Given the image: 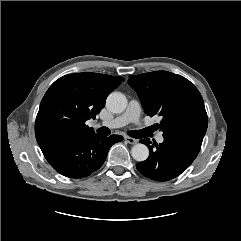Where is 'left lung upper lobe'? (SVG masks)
<instances>
[{"label":"left lung upper lobe","mask_w":241,"mask_h":241,"mask_svg":"<svg viewBox=\"0 0 241 241\" xmlns=\"http://www.w3.org/2000/svg\"><path fill=\"white\" fill-rule=\"evenodd\" d=\"M128 84L137 92L145 113L162 117L163 136H204L208 118L198 89L183 76L154 71L129 76Z\"/></svg>","instance_id":"1"}]
</instances>
